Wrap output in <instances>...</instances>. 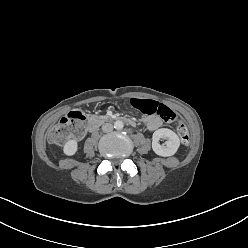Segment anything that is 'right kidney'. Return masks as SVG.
Returning <instances> with one entry per match:
<instances>
[{"label":"right kidney","mask_w":248,"mask_h":248,"mask_svg":"<svg viewBox=\"0 0 248 248\" xmlns=\"http://www.w3.org/2000/svg\"><path fill=\"white\" fill-rule=\"evenodd\" d=\"M78 143L75 139L69 140L65 143L63 147V152L67 156H72L77 152Z\"/></svg>","instance_id":"1"}]
</instances>
